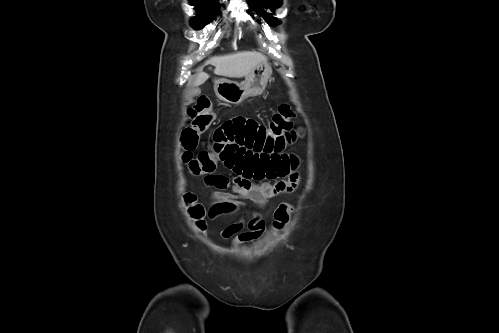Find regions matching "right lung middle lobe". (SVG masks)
<instances>
[{
	"instance_id": "1",
	"label": "right lung middle lobe",
	"mask_w": 499,
	"mask_h": 333,
	"mask_svg": "<svg viewBox=\"0 0 499 333\" xmlns=\"http://www.w3.org/2000/svg\"><path fill=\"white\" fill-rule=\"evenodd\" d=\"M192 4L200 11L199 16L192 20V24L195 28L199 29L205 26L211 18L214 16L217 8H215V2L207 1H191Z\"/></svg>"
}]
</instances>
